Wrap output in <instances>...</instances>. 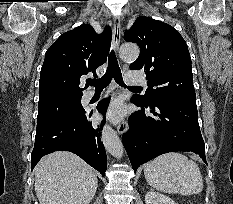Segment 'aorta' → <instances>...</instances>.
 <instances>
[{"mask_svg": "<svg viewBox=\"0 0 233 204\" xmlns=\"http://www.w3.org/2000/svg\"><path fill=\"white\" fill-rule=\"evenodd\" d=\"M140 50L135 44H123L120 48V57L126 61H134L138 58ZM102 141L106 150L116 158L123 155V145L117 133L108 125L102 130Z\"/></svg>", "mask_w": 233, "mask_h": 204, "instance_id": "obj_1", "label": "aorta"}]
</instances>
